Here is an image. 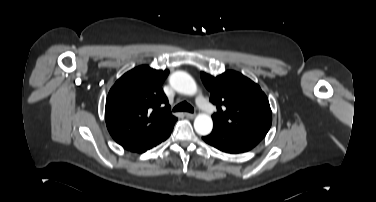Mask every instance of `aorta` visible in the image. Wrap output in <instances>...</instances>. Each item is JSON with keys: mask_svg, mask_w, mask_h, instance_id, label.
Instances as JSON below:
<instances>
[{"mask_svg": "<svg viewBox=\"0 0 376 202\" xmlns=\"http://www.w3.org/2000/svg\"><path fill=\"white\" fill-rule=\"evenodd\" d=\"M170 85L179 93L193 95L197 92L194 79L184 71H176L169 78ZM213 128V121L207 114H199L194 120V129L199 135H208Z\"/></svg>", "mask_w": 376, "mask_h": 202, "instance_id": "1", "label": "aorta"}]
</instances>
